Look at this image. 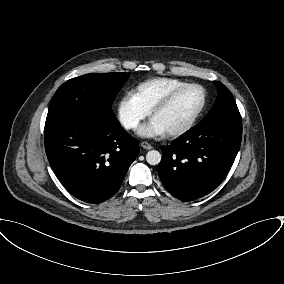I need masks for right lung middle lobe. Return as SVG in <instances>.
I'll use <instances>...</instances> for the list:
<instances>
[{
    "instance_id": "obj_1",
    "label": "right lung middle lobe",
    "mask_w": 284,
    "mask_h": 284,
    "mask_svg": "<svg viewBox=\"0 0 284 284\" xmlns=\"http://www.w3.org/2000/svg\"><path fill=\"white\" fill-rule=\"evenodd\" d=\"M128 73H94L68 80L51 99L45 130L72 117L112 115L111 105Z\"/></svg>"
}]
</instances>
